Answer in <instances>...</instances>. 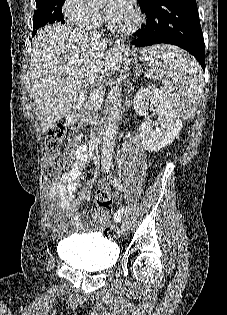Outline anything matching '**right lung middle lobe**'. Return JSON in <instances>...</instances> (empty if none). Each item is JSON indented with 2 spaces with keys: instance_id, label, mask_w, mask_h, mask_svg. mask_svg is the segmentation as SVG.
Returning a JSON list of instances; mask_svg holds the SVG:
<instances>
[{
  "instance_id": "right-lung-middle-lobe-1",
  "label": "right lung middle lobe",
  "mask_w": 227,
  "mask_h": 315,
  "mask_svg": "<svg viewBox=\"0 0 227 315\" xmlns=\"http://www.w3.org/2000/svg\"><path fill=\"white\" fill-rule=\"evenodd\" d=\"M65 0H36L33 18V36L40 27L55 22L65 23L62 6Z\"/></svg>"
}]
</instances>
